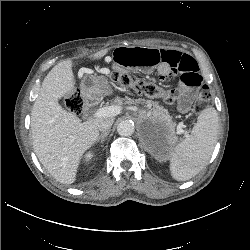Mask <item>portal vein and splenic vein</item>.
Instances as JSON below:
<instances>
[{"mask_svg": "<svg viewBox=\"0 0 250 250\" xmlns=\"http://www.w3.org/2000/svg\"><path fill=\"white\" fill-rule=\"evenodd\" d=\"M121 110H122V108L119 105L106 106V107H102V108L97 109L93 113V117H96V118L112 117V116H116V115L120 114ZM183 128H184V124L182 122H180L177 125V134H186V136H188V134L186 133V131Z\"/></svg>", "mask_w": 250, "mask_h": 250, "instance_id": "1", "label": "portal vein and splenic vein"}]
</instances>
